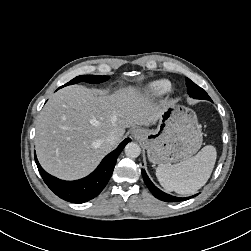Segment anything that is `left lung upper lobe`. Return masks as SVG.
Segmentation results:
<instances>
[{
  "mask_svg": "<svg viewBox=\"0 0 251 251\" xmlns=\"http://www.w3.org/2000/svg\"><path fill=\"white\" fill-rule=\"evenodd\" d=\"M187 92L190 97L195 99H205L212 101L208 94L201 87L192 82L189 78H186Z\"/></svg>",
  "mask_w": 251,
  "mask_h": 251,
  "instance_id": "left-lung-upper-lobe-1",
  "label": "left lung upper lobe"
}]
</instances>
